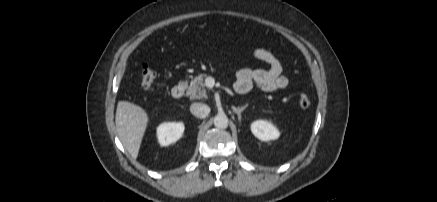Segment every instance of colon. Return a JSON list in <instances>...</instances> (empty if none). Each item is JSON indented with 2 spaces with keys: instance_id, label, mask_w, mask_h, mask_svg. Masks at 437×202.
Segmentation results:
<instances>
[{
  "instance_id": "colon-1",
  "label": "colon",
  "mask_w": 437,
  "mask_h": 202,
  "mask_svg": "<svg viewBox=\"0 0 437 202\" xmlns=\"http://www.w3.org/2000/svg\"><path fill=\"white\" fill-rule=\"evenodd\" d=\"M156 78H157L156 71L153 68L144 65L140 73V83L142 88L149 89L156 81ZM310 104H311L310 98L306 94H301L299 96L298 106L300 108L306 109L310 106Z\"/></svg>"
}]
</instances>
